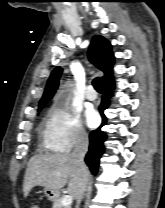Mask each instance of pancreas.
Masks as SVG:
<instances>
[{
	"mask_svg": "<svg viewBox=\"0 0 165 208\" xmlns=\"http://www.w3.org/2000/svg\"><path fill=\"white\" fill-rule=\"evenodd\" d=\"M52 208H71V206H64L62 204V198H57L56 200H54Z\"/></svg>",
	"mask_w": 165,
	"mask_h": 208,
	"instance_id": "1",
	"label": "pancreas"
}]
</instances>
